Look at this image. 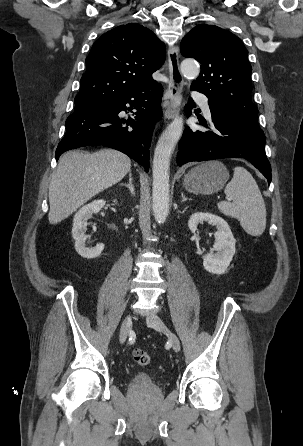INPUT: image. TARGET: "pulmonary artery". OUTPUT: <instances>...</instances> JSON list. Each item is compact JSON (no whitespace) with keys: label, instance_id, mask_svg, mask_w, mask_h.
Masks as SVG:
<instances>
[{"label":"pulmonary artery","instance_id":"1","mask_svg":"<svg viewBox=\"0 0 303 446\" xmlns=\"http://www.w3.org/2000/svg\"><path fill=\"white\" fill-rule=\"evenodd\" d=\"M193 98L200 103L205 116L207 118H210L211 117V111H210V107H209V104H208L207 97L205 95L199 93V92H194L193 93Z\"/></svg>","mask_w":303,"mask_h":446}]
</instances>
